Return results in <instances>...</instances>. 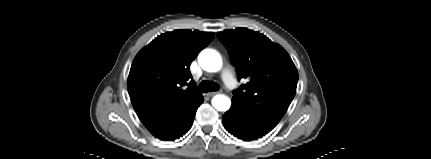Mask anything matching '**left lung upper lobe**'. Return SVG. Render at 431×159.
<instances>
[{
	"mask_svg": "<svg viewBox=\"0 0 431 159\" xmlns=\"http://www.w3.org/2000/svg\"><path fill=\"white\" fill-rule=\"evenodd\" d=\"M238 79L232 103L243 111L279 122L296 93L298 72L288 53L263 34L236 28L218 32Z\"/></svg>",
	"mask_w": 431,
	"mask_h": 159,
	"instance_id": "5c2ea615",
	"label": "left lung upper lobe"
}]
</instances>
